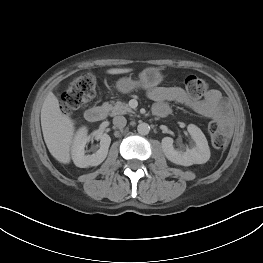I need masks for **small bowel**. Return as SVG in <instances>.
Instances as JSON below:
<instances>
[{
    "label": "small bowel",
    "mask_w": 263,
    "mask_h": 263,
    "mask_svg": "<svg viewBox=\"0 0 263 263\" xmlns=\"http://www.w3.org/2000/svg\"><path fill=\"white\" fill-rule=\"evenodd\" d=\"M147 95L154 102L153 111L158 116L162 111H170L169 102H176L205 117L213 118L225 130L230 128L228 106L218 90H209L200 100L191 98L181 87H156Z\"/></svg>",
    "instance_id": "obj_1"
}]
</instances>
